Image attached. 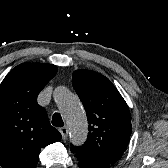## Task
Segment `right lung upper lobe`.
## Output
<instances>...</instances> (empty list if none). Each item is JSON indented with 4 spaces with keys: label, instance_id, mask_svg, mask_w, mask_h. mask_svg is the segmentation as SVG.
Instances as JSON below:
<instances>
[{
    "label": "right lung upper lobe",
    "instance_id": "1",
    "mask_svg": "<svg viewBox=\"0 0 168 168\" xmlns=\"http://www.w3.org/2000/svg\"><path fill=\"white\" fill-rule=\"evenodd\" d=\"M58 68L46 63H22L0 84V166L35 168L40 149L62 136L49 123L37 96Z\"/></svg>",
    "mask_w": 168,
    "mask_h": 168
}]
</instances>
